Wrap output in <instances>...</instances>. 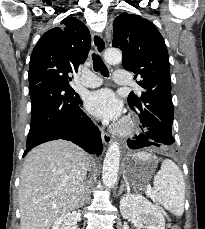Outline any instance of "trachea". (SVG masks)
Wrapping results in <instances>:
<instances>
[{
    "label": "trachea",
    "instance_id": "1",
    "mask_svg": "<svg viewBox=\"0 0 205 229\" xmlns=\"http://www.w3.org/2000/svg\"><path fill=\"white\" fill-rule=\"evenodd\" d=\"M92 60H93V68L95 71H100V73L104 77H109V72L103 61L101 60L100 56L96 53L92 54Z\"/></svg>",
    "mask_w": 205,
    "mask_h": 229
}]
</instances>
